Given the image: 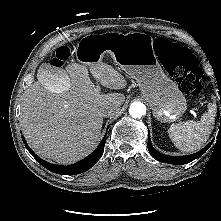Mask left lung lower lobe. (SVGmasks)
<instances>
[{
  "label": "left lung lower lobe",
  "mask_w": 221,
  "mask_h": 221,
  "mask_svg": "<svg viewBox=\"0 0 221 221\" xmlns=\"http://www.w3.org/2000/svg\"><path fill=\"white\" fill-rule=\"evenodd\" d=\"M221 119V118H220ZM212 142L209 143L205 148H203L201 151L196 152L194 154L191 155H187V156H168V155H164L159 153L158 151H156L154 149V147L151 144V139H150V135L148 138V150L150 152V154L158 161L160 162H164V163H169V164H175V165H182V164H186L189 163L193 160H195L196 158L200 157L202 154H204L209 147L211 146Z\"/></svg>",
  "instance_id": "obj_1"
}]
</instances>
